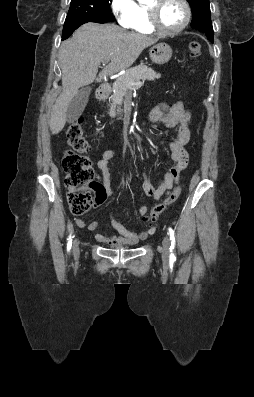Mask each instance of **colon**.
Masks as SVG:
<instances>
[{
	"mask_svg": "<svg viewBox=\"0 0 254 397\" xmlns=\"http://www.w3.org/2000/svg\"><path fill=\"white\" fill-rule=\"evenodd\" d=\"M201 50L200 42H190L188 46L190 57L194 59L199 57ZM66 136L68 144L72 148V150L66 151L62 157L68 206L73 215L79 216L87 213L94 206L97 199L95 188L98 183L94 181L95 173L92 162L84 155L90 150V146L84 137L81 118L69 125ZM180 193L181 188H175L168 198L152 209L147 219L155 220L168 205L179 197Z\"/></svg>",
	"mask_w": 254,
	"mask_h": 397,
	"instance_id": "1",
	"label": "colon"
}]
</instances>
